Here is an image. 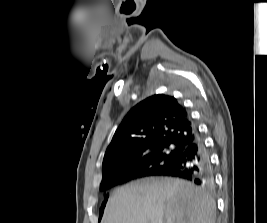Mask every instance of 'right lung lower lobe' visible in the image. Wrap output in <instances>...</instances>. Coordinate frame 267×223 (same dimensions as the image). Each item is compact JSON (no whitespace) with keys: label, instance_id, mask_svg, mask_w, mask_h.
Wrapping results in <instances>:
<instances>
[{"label":"right lung lower lobe","instance_id":"1","mask_svg":"<svg viewBox=\"0 0 267 223\" xmlns=\"http://www.w3.org/2000/svg\"><path fill=\"white\" fill-rule=\"evenodd\" d=\"M196 139L181 151L176 161L167 169L155 174L138 171L109 177L102 186L103 190L123 184L132 179L146 176H168L185 179L204 188L213 186L212 168L206 147L197 130Z\"/></svg>","mask_w":267,"mask_h":223}]
</instances>
